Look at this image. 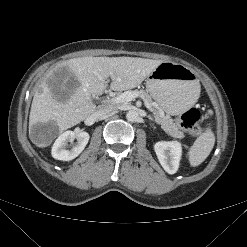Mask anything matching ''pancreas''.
I'll return each instance as SVG.
<instances>
[{"instance_id": "cf45deb5", "label": "pancreas", "mask_w": 247, "mask_h": 247, "mask_svg": "<svg viewBox=\"0 0 247 247\" xmlns=\"http://www.w3.org/2000/svg\"><path fill=\"white\" fill-rule=\"evenodd\" d=\"M146 100L151 107L154 106L151 96L144 90H135L133 91ZM154 111V109L152 108ZM154 117L156 121L161 125L162 129L173 138H184V133L179 130V127L176 123L173 122V119L169 115H164L161 112L154 111Z\"/></svg>"}]
</instances>
